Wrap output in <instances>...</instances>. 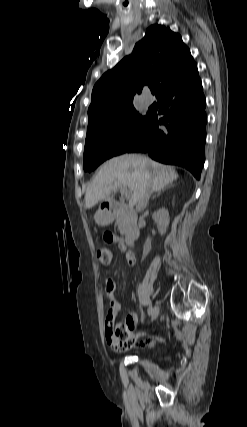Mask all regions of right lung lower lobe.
<instances>
[{
	"label": "right lung lower lobe",
	"mask_w": 247,
	"mask_h": 427,
	"mask_svg": "<svg viewBox=\"0 0 247 427\" xmlns=\"http://www.w3.org/2000/svg\"><path fill=\"white\" fill-rule=\"evenodd\" d=\"M158 99L159 114L144 136L126 152H144L161 163L185 167L200 179L205 161L206 99L197 67L173 83ZM160 125L166 129L161 130Z\"/></svg>",
	"instance_id": "right-lung-lower-lobe-1"
}]
</instances>
